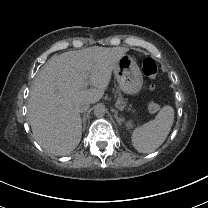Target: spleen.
Segmentation results:
<instances>
[{
  "label": "spleen",
  "mask_w": 208,
  "mask_h": 208,
  "mask_svg": "<svg viewBox=\"0 0 208 208\" xmlns=\"http://www.w3.org/2000/svg\"><path fill=\"white\" fill-rule=\"evenodd\" d=\"M174 122V109L164 106L154 120L137 127L132 133V144L140 153L155 151L166 140Z\"/></svg>",
  "instance_id": "obj_1"
}]
</instances>
